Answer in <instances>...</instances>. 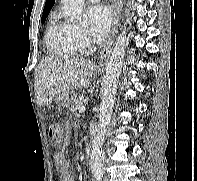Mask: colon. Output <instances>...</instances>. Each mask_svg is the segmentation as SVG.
I'll list each match as a JSON object with an SVG mask.
<instances>
[{
    "instance_id": "colon-1",
    "label": "colon",
    "mask_w": 197,
    "mask_h": 181,
    "mask_svg": "<svg viewBox=\"0 0 197 181\" xmlns=\"http://www.w3.org/2000/svg\"><path fill=\"white\" fill-rule=\"evenodd\" d=\"M49 137L55 147H59L62 142V133L57 125H50L48 128Z\"/></svg>"
}]
</instances>
